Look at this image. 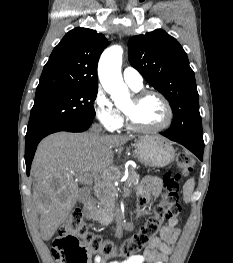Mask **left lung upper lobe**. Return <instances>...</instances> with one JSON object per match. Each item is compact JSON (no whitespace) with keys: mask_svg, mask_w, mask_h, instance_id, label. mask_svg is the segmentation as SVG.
Wrapping results in <instances>:
<instances>
[{"mask_svg":"<svg viewBox=\"0 0 233 263\" xmlns=\"http://www.w3.org/2000/svg\"><path fill=\"white\" fill-rule=\"evenodd\" d=\"M129 61L169 101L173 121L166 133L204 147L195 76L178 41L161 29L134 36Z\"/></svg>","mask_w":233,"mask_h":263,"instance_id":"5c2ea615","label":"left lung upper lobe"}]
</instances>
